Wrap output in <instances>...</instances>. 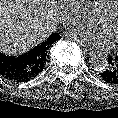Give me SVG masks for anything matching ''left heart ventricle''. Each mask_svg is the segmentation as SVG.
Returning a JSON list of instances; mask_svg holds the SVG:
<instances>
[{"instance_id":"1","label":"left heart ventricle","mask_w":118,"mask_h":118,"mask_svg":"<svg viewBox=\"0 0 118 118\" xmlns=\"http://www.w3.org/2000/svg\"><path fill=\"white\" fill-rule=\"evenodd\" d=\"M93 22L106 31L113 45L118 44V5L110 14L97 13L93 18Z\"/></svg>"}]
</instances>
